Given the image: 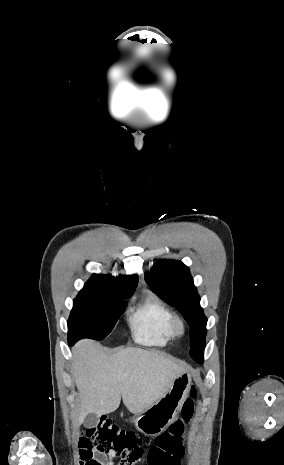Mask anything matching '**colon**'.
Listing matches in <instances>:
<instances>
[{"label": "colon", "mask_w": 284, "mask_h": 465, "mask_svg": "<svg viewBox=\"0 0 284 465\" xmlns=\"http://www.w3.org/2000/svg\"><path fill=\"white\" fill-rule=\"evenodd\" d=\"M199 396L196 385L190 387L185 404L181 406L180 421H174L172 429L166 432L167 437L158 435L156 442L162 446H150L147 462L149 465H179L187 449L183 440L170 438H188L190 435L189 422L193 416L190 413L194 400ZM78 445V465H101L93 458V450L107 456L122 458V465H133L142 459L144 448L141 438L134 431L120 429L117 424L107 422L91 426L81 431ZM87 452H85V451Z\"/></svg>", "instance_id": "obj_1"}]
</instances>
